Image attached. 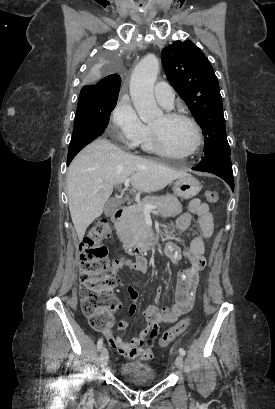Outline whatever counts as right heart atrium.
Masks as SVG:
<instances>
[{
  "label": "right heart atrium",
  "instance_id": "d8ad5b80",
  "mask_svg": "<svg viewBox=\"0 0 275 409\" xmlns=\"http://www.w3.org/2000/svg\"><path fill=\"white\" fill-rule=\"evenodd\" d=\"M111 126L115 143H125V152H135L146 132V125L125 100H120L111 113Z\"/></svg>",
  "mask_w": 275,
  "mask_h": 409
}]
</instances>
